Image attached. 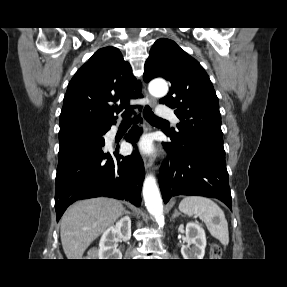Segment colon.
I'll use <instances>...</instances> for the list:
<instances>
[{
    "label": "colon",
    "mask_w": 287,
    "mask_h": 287,
    "mask_svg": "<svg viewBox=\"0 0 287 287\" xmlns=\"http://www.w3.org/2000/svg\"><path fill=\"white\" fill-rule=\"evenodd\" d=\"M222 255V248L218 244H212L210 247V256L214 259L220 258Z\"/></svg>",
    "instance_id": "5ec220e1"
}]
</instances>
